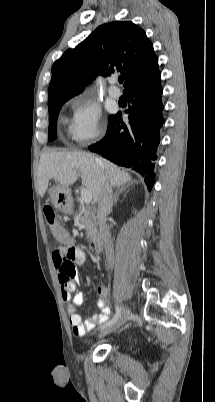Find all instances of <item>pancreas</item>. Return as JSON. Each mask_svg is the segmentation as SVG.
Listing matches in <instances>:
<instances>
[{
  "mask_svg": "<svg viewBox=\"0 0 215 402\" xmlns=\"http://www.w3.org/2000/svg\"><path fill=\"white\" fill-rule=\"evenodd\" d=\"M74 220L79 226L86 229V239L88 241L94 240L98 235L97 221L95 215L90 210L81 208L78 213L75 214Z\"/></svg>",
  "mask_w": 215,
  "mask_h": 402,
  "instance_id": "1",
  "label": "pancreas"
}]
</instances>
